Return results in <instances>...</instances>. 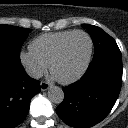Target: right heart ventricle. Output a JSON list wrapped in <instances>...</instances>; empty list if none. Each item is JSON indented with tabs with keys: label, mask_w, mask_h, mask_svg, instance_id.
<instances>
[{
	"label": "right heart ventricle",
	"mask_w": 128,
	"mask_h": 128,
	"mask_svg": "<svg viewBox=\"0 0 128 128\" xmlns=\"http://www.w3.org/2000/svg\"><path fill=\"white\" fill-rule=\"evenodd\" d=\"M73 31L52 32L40 35L30 43V50L48 66L62 41Z\"/></svg>",
	"instance_id": "1"
}]
</instances>
